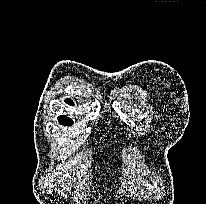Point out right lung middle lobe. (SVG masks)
Instances as JSON below:
<instances>
[{"instance_id": "obj_1", "label": "right lung middle lobe", "mask_w": 206, "mask_h": 204, "mask_svg": "<svg viewBox=\"0 0 206 204\" xmlns=\"http://www.w3.org/2000/svg\"><path fill=\"white\" fill-rule=\"evenodd\" d=\"M58 121L62 124V125H67V126H70L73 124V121L66 117V116H60L58 117Z\"/></svg>"}]
</instances>
